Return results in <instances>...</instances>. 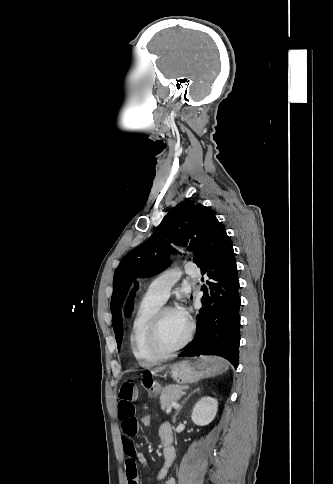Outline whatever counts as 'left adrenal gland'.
<instances>
[{"mask_svg": "<svg viewBox=\"0 0 333 484\" xmlns=\"http://www.w3.org/2000/svg\"><path fill=\"white\" fill-rule=\"evenodd\" d=\"M197 392H199V389H195V390H194V391H193L191 394H189V395H188V397H187V398H186V399L183 401L182 405H181V406H180V407L177 409V411H176L175 415L173 416V422H175L176 417H177V415H178L179 411L182 409V407H183L184 403L187 401V399H188V398H189V397H190L192 394L197 393Z\"/></svg>", "mask_w": 333, "mask_h": 484, "instance_id": "obj_1", "label": "left adrenal gland"}]
</instances>
